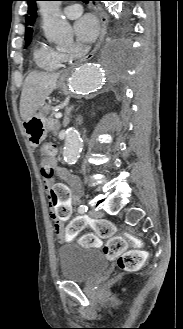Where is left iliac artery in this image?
Here are the masks:
<instances>
[{
	"label": "left iliac artery",
	"mask_w": 183,
	"mask_h": 329,
	"mask_svg": "<svg viewBox=\"0 0 183 329\" xmlns=\"http://www.w3.org/2000/svg\"><path fill=\"white\" fill-rule=\"evenodd\" d=\"M87 210H88V207L86 205H80L79 208H78V212L80 214H83V213L87 212Z\"/></svg>",
	"instance_id": "obj_1"
}]
</instances>
